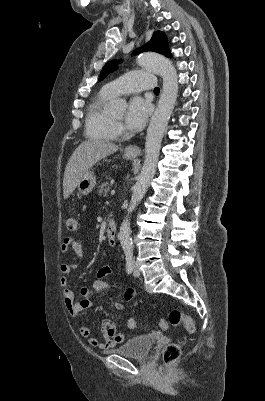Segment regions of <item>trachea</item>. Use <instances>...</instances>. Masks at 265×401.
<instances>
[{"label":"trachea","instance_id":"trachea-1","mask_svg":"<svg viewBox=\"0 0 265 401\" xmlns=\"http://www.w3.org/2000/svg\"><path fill=\"white\" fill-rule=\"evenodd\" d=\"M159 92H160V89H159L158 87H155V88H154V93L158 95Z\"/></svg>","mask_w":265,"mask_h":401}]
</instances>
